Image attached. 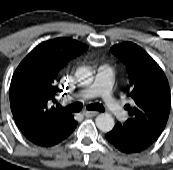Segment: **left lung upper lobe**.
<instances>
[{
	"label": "left lung upper lobe",
	"mask_w": 173,
	"mask_h": 170,
	"mask_svg": "<svg viewBox=\"0 0 173 170\" xmlns=\"http://www.w3.org/2000/svg\"><path fill=\"white\" fill-rule=\"evenodd\" d=\"M127 67L131 104L125 109L129 119L119 128L147 145L153 144L164 130L170 111L171 95L167 78L159 65L132 42L111 48Z\"/></svg>",
	"instance_id": "5c2ea615"
}]
</instances>
